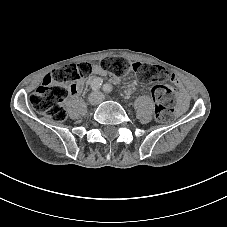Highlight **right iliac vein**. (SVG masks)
Returning a JSON list of instances; mask_svg holds the SVG:
<instances>
[{
  "label": "right iliac vein",
  "instance_id": "1",
  "mask_svg": "<svg viewBox=\"0 0 227 227\" xmlns=\"http://www.w3.org/2000/svg\"><path fill=\"white\" fill-rule=\"evenodd\" d=\"M88 101L91 106H96L101 102L100 98L98 97V95L96 93H92L90 95Z\"/></svg>",
  "mask_w": 227,
  "mask_h": 227
}]
</instances>
